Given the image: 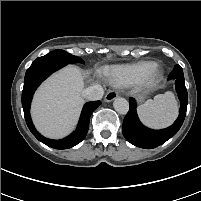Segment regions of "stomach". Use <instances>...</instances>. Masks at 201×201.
Returning <instances> with one entry per match:
<instances>
[{"mask_svg": "<svg viewBox=\"0 0 201 201\" xmlns=\"http://www.w3.org/2000/svg\"><path fill=\"white\" fill-rule=\"evenodd\" d=\"M144 97H145V94H144V93L138 95V99H139V100H143Z\"/></svg>", "mask_w": 201, "mask_h": 201, "instance_id": "stomach-1", "label": "stomach"}]
</instances>
